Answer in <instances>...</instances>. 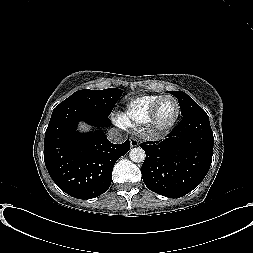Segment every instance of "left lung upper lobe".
Segmentation results:
<instances>
[{
    "mask_svg": "<svg viewBox=\"0 0 253 253\" xmlns=\"http://www.w3.org/2000/svg\"><path fill=\"white\" fill-rule=\"evenodd\" d=\"M174 95L179 102L181 115L183 117L198 113L205 112L192 98H190L185 92L182 91H174L170 92Z\"/></svg>",
    "mask_w": 253,
    "mask_h": 253,
    "instance_id": "5c2ea615",
    "label": "left lung upper lobe"
}]
</instances>
